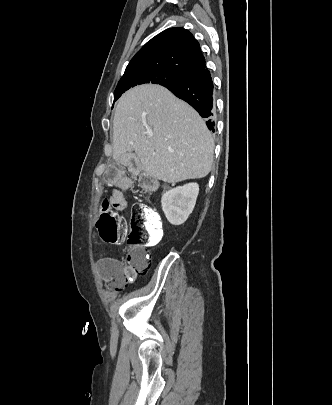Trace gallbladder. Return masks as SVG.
Returning a JSON list of instances; mask_svg holds the SVG:
<instances>
[{"label": "gallbladder", "mask_w": 332, "mask_h": 405, "mask_svg": "<svg viewBox=\"0 0 332 405\" xmlns=\"http://www.w3.org/2000/svg\"><path fill=\"white\" fill-rule=\"evenodd\" d=\"M129 155L132 157L133 160H138V157L136 154H129Z\"/></svg>", "instance_id": "1"}]
</instances>
